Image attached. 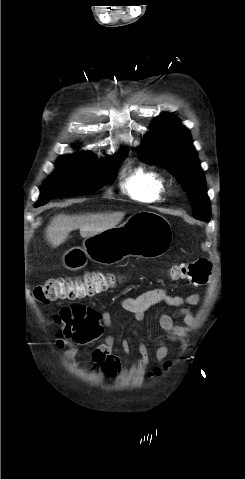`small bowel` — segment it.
I'll use <instances>...</instances> for the list:
<instances>
[{
  "instance_id": "1",
  "label": "small bowel",
  "mask_w": 245,
  "mask_h": 479,
  "mask_svg": "<svg viewBox=\"0 0 245 479\" xmlns=\"http://www.w3.org/2000/svg\"><path fill=\"white\" fill-rule=\"evenodd\" d=\"M200 297L197 293H191L185 296L171 294L165 288H156L146 291L135 297H125L122 300V309L130 314L134 321L143 323L145 313L151 307L157 304H163L170 309L178 308L177 312L162 313L159 317V325L162 330L167 333L170 341L175 342L184 331L182 326L175 323L177 318H181L185 325L191 326L195 322V318L191 310L187 306L197 305ZM89 317L86 326L82 332L85 337L93 335H101V332L111 326L112 315L107 311L96 312L89 308ZM136 334V333H135ZM68 343L62 338H58L55 345L58 349H63ZM157 350L155 353L156 361L162 362L168 355V347L164 338L159 337L157 340ZM114 338L111 335L103 336V343L92 353V360L101 368V373L107 378H113L120 370V359L113 353ZM121 349L125 354L130 352V343L127 339L121 341ZM140 353V366L142 368L149 364V350L144 342H140L138 346ZM78 349L75 345H71L65 352L66 361L70 362L74 359ZM161 373L159 367H154L150 371V375L157 376Z\"/></svg>"
}]
</instances>
